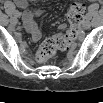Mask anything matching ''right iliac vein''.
<instances>
[{"label": "right iliac vein", "mask_w": 103, "mask_h": 103, "mask_svg": "<svg viewBox=\"0 0 103 103\" xmlns=\"http://www.w3.org/2000/svg\"><path fill=\"white\" fill-rule=\"evenodd\" d=\"M17 23H18L17 18H12V19H11V24H12V25H16Z\"/></svg>", "instance_id": "right-iliac-vein-1"}]
</instances>
